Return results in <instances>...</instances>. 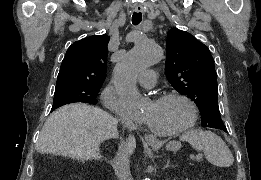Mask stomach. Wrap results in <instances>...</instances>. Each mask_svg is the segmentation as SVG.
I'll return each mask as SVG.
<instances>
[{
    "label": "stomach",
    "mask_w": 261,
    "mask_h": 180,
    "mask_svg": "<svg viewBox=\"0 0 261 180\" xmlns=\"http://www.w3.org/2000/svg\"><path fill=\"white\" fill-rule=\"evenodd\" d=\"M166 149L169 151H176L177 149H179V143L171 141L166 145Z\"/></svg>",
    "instance_id": "stomach-1"
}]
</instances>
